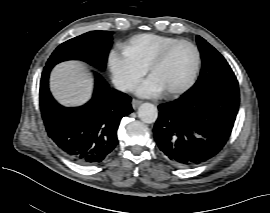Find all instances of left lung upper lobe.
<instances>
[{
	"mask_svg": "<svg viewBox=\"0 0 270 213\" xmlns=\"http://www.w3.org/2000/svg\"><path fill=\"white\" fill-rule=\"evenodd\" d=\"M196 41L202 58V70L194 86L186 95L194 94L201 89L221 81L234 73L224 57L206 40L197 36Z\"/></svg>",
	"mask_w": 270,
	"mask_h": 213,
	"instance_id": "5c2ea615",
	"label": "left lung upper lobe"
}]
</instances>
